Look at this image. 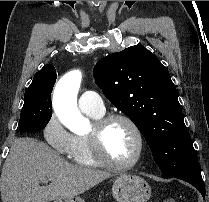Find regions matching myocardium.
Returning <instances> with one entry per match:
<instances>
[{"mask_svg": "<svg viewBox=\"0 0 209 202\" xmlns=\"http://www.w3.org/2000/svg\"><path fill=\"white\" fill-rule=\"evenodd\" d=\"M116 121H123L127 123L132 128V130L134 131L137 137V142H138L137 152L135 158L130 163L115 162L108 157V155L104 150V146H103L104 134L107 128L110 126V124ZM87 137L95 159L100 164L109 167L111 169H115V170L133 169L140 164V162L144 157V152H145L144 134L141 128L139 127V125L128 115L110 114L107 116H102L101 118L97 119L94 122L91 132L87 135Z\"/></svg>", "mask_w": 209, "mask_h": 202, "instance_id": "1", "label": "myocardium"}]
</instances>
